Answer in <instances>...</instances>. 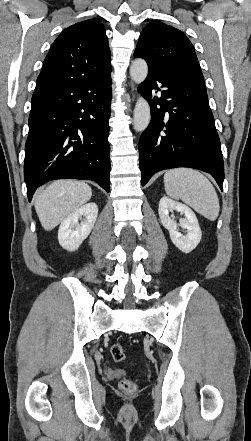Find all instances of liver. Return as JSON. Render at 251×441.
Returning <instances> with one entry per match:
<instances>
[{"label":"liver","mask_w":251,"mask_h":441,"mask_svg":"<svg viewBox=\"0 0 251 441\" xmlns=\"http://www.w3.org/2000/svg\"><path fill=\"white\" fill-rule=\"evenodd\" d=\"M91 187L82 181L58 180L41 190L34 206L42 227L51 231L66 216L88 202Z\"/></svg>","instance_id":"6515ba94"}]
</instances>
